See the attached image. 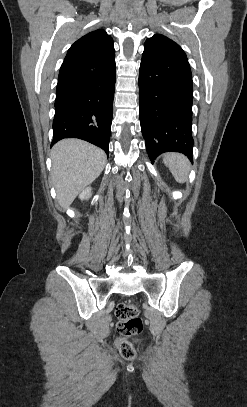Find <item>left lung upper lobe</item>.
<instances>
[{
	"mask_svg": "<svg viewBox=\"0 0 247 407\" xmlns=\"http://www.w3.org/2000/svg\"><path fill=\"white\" fill-rule=\"evenodd\" d=\"M144 53L150 54L162 61L189 66L185 52L173 40L162 34H155L147 39Z\"/></svg>",
	"mask_w": 247,
	"mask_h": 407,
	"instance_id": "left-lung-upper-lobe-1",
	"label": "left lung upper lobe"
}]
</instances>
